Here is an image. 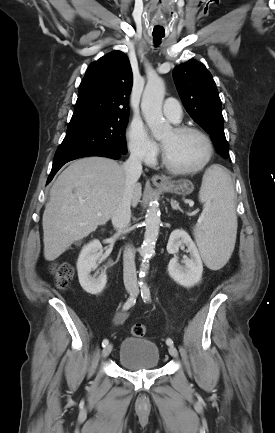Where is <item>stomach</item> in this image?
I'll return each instance as SVG.
<instances>
[{
  "label": "stomach",
  "instance_id": "stomach-1",
  "mask_svg": "<svg viewBox=\"0 0 275 433\" xmlns=\"http://www.w3.org/2000/svg\"><path fill=\"white\" fill-rule=\"evenodd\" d=\"M157 188L178 195H189L193 192L194 186L189 180L170 182L167 185H156Z\"/></svg>",
  "mask_w": 275,
  "mask_h": 433
}]
</instances>
